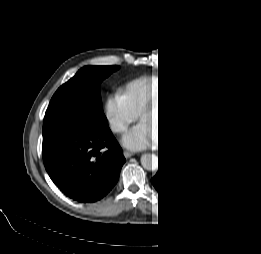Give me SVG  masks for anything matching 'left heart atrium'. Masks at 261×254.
Instances as JSON below:
<instances>
[{
  "instance_id": "obj_1",
  "label": "left heart atrium",
  "mask_w": 261,
  "mask_h": 254,
  "mask_svg": "<svg viewBox=\"0 0 261 254\" xmlns=\"http://www.w3.org/2000/svg\"><path fill=\"white\" fill-rule=\"evenodd\" d=\"M149 130L147 125H139L129 130L123 136L124 145L131 148H142L153 145L155 138Z\"/></svg>"
}]
</instances>
